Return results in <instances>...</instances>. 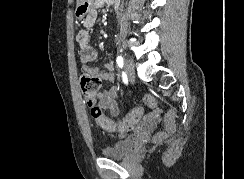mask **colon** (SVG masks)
<instances>
[{
    "instance_id": "obj_1",
    "label": "colon",
    "mask_w": 244,
    "mask_h": 179,
    "mask_svg": "<svg viewBox=\"0 0 244 179\" xmlns=\"http://www.w3.org/2000/svg\"><path fill=\"white\" fill-rule=\"evenodd\" d=\"M80 89L90 107L92 118L99 124L104 131L112 132L117 129L126 132L133 128L137 120H141L142 106L138 105L137 108H128L129 115L126 116L121 122L110 120L101 110L99 106H92L91 102L95 101L97 93L100 91L101 79L93 74H82L80 80ZM144 103L148 109H157V101L153 98V95H144ZM179 107H172L169 112H166L165 116V138H172V133H177V125L175 124L176 117L179 115Z\"/></svg>"
}]
</instances>
